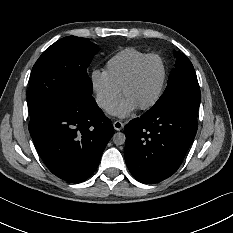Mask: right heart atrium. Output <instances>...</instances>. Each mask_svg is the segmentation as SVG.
Instances as JSON below:
<instances>
[{
  "label": "right heart atrium",
  "mask_w": 233,
  "mask_h": 233,
  "mask_svg": "<svg viewBox=\"0 0 233 233\" xmlns=\"http://www.w3.org/2000/svg\"><path fill=\"white\" fill-rule=\"evenodd\" d=\"M91 87L97 105L104 111L114 108L122 97L121 89L116 87L99 69H94L90 76Z\"/></svg>",
  "instance_id": "1"
}]
</instances>
